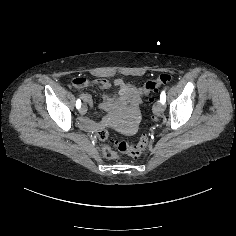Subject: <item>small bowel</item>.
Instances as JSON below:
<instances>
[{"mask_svg": "<svg viewBox=\"0 0 236 236\" xmlns=\"http://www.w3.org/2000/svg\"><path fill=\"white\" fill-rule=\"evenodd\" d=\"M100 84H101V85H104V84H106V83L100 82ZM116 84H119V82L116 81ZM83 98H84V100H85L86 102L90 103L91 100H90V97H89L88 95H84Z\"/></svg>", "mask_w": 236, "mask_h": 236, "instance_id": "small-bowel-1", "label": "small bowel"}]
</instances>
